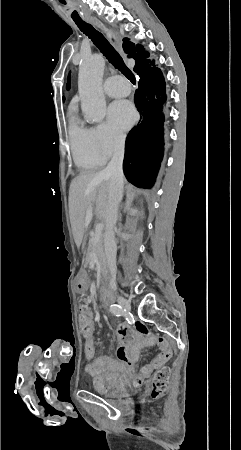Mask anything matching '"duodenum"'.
Masks as SVG:
<instances>
[{"label":"duodenum","mask_w":241,"mask_h":450,"mask_svg":"<svg viewBox=\"0 0 241 450\" xmlns=\"http://www.w3.org/2000/svg\"><path fill=\"white\" fill-rule=\"evenodd\" d=\"M100 293L104 299H109L112 296V292L107 286H101Z\"/></svg>","instance_id":"410a0bca"}]
</instances>
